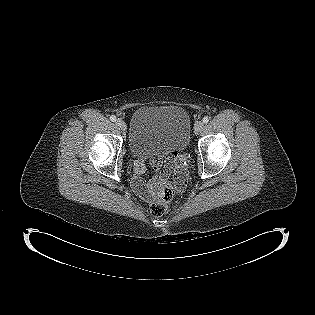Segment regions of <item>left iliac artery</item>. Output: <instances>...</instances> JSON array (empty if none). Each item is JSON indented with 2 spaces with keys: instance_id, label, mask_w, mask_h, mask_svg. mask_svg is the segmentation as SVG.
Listing matches in <instances>:
<instances>
[{
  "instance_id": "obj_1",
  "label": "left iliac artery",
  "mask_w": 315,
  "mask_h": 315,
  "mask_svg": "<svg viewBox=\"0 0 315 315\" xmlns=\"http://www.w3.org/2000/svg\"><path fill=\"white\" fill-rule=\"evenodd\" d=\"M209 119H210V117H208V116H205L204 118H203V123H208L209 122Z\"/></svg>"
}]
</instances>
